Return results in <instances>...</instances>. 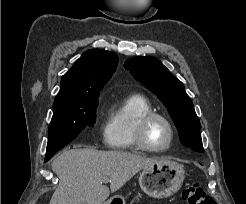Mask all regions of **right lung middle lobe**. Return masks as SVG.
I'll use <instances>...</instances> for the list:
<instances>
[{"mask_svg":"<svg viewBox=\"0 0 246 204\" xmlns=\"http://www.w3.org/2000/svg\"><path fill=\"white\" fill-rule=\"evenodd\" d=\"M98 96L54 102L53 117L49 125L46 157L50 159L58 150L71 142L86 126L96 122Z\"/></svg>","mask_w":246,"mask_h":204,"instance_id":"1","label":"right lung middle lobe"}]
</instances>
